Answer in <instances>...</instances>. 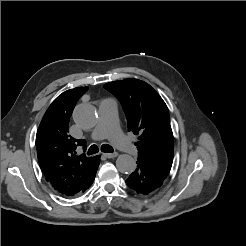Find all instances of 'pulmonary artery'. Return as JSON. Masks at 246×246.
I'll use <instances>...</instances> for the list:
<instances>
[{
    "label": "pulmonary artery",
    "mask_w": 246,
    "mask_h": 246,
    "mask_svg": "<svg viewBox=\"0 0 246 246\" xmlns=\"http://www.w3.org/2000/svg\"><path fill=\"white\" fill-rule=\"evenodd\" d=\"M98 114V122L91 133V138L93 140L108 138L116 147L136 157L138 155V149L121 132L118 126L117 102L112 98L101 100Z\"/></svg>",
    "instance_id": "e3ab8cb5"
}]
</instances>
